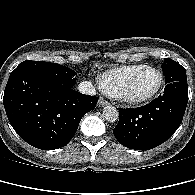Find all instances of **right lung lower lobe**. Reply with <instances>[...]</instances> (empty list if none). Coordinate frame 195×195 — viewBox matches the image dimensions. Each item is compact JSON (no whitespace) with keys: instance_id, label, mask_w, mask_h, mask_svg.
<instances>
[{"instance_id":"right-lung-lower-lobe-1","label":"right lung lower lobe","mask_w":195,"mask_h":195,"mask_svg":"<svg viewBox=\"0 0 195 195\" xmlns=\"http://www.w3.org/2000/svg\"><path fill=\"white\" fill-rule=\"evenodd\" d=\"M98 97L73 88L59 89L44 72L15 69L8 79L3 104L10 124L28 144L54 150L69 143L85 113Z\"/></svg>"}]
</instances>
